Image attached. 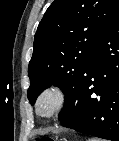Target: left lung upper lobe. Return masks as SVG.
<instances>
[{
  "mask_svg": "<svg viewBox=\"0 0 119 141\" xmlns=\"http://www.w3.org/2000/svg\"><path fill=\"white\" fill-rule=\"evenodd\" d=\"M119 12V0H55L37 28L29 62L31 104L55 85L65 98L79 86L96 45Z\"/></svg>",
  "mask_w": 119,
  "mask_h": 141,
  "instance_id": "1",
  "label": "left lung upper lobe"
}]
</instances>
